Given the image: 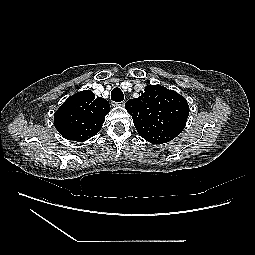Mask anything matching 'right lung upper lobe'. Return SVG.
Wrapping results in <instances>:
<instances>
[{
    "instance_id": "right-lung-upper-lobe-1",
    "label": "right lung upper lobe",
    "mask_w": 255,
    "mask_h": 255,
    "mask_svg": "<svg viewBox=\"0 0 255 255\" xmlns=\"http://www.w3.org/2000/svg\"><path fill=\"white\" fill-rule=\"evenodd\" d=\"M110 105L90 90L69 97L54 114V125L66 139L83 142L95 136L104 123Z\"/></svg>"
}]
</instances>
